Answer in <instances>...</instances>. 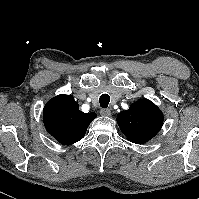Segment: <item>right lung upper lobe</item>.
I'll list each match as a JSON object with an SVG mask.
<instances>
[{
    "instance_id": "1",
    "label": "right lung upper lobe",
    "mask_w": 199,
    "mask_h": 199,
    "mask_svg": "<svg viewBox=\"0 0 199 199\" xmlns=\"http://www.w3.org/2000/svg\"><path fill=\"white\" fill-rule=\"evenodd\" d=\"M95 118L94 112L80 111L72 95H59L52 98L43 110L46 130L63 145L81 140Z\"/></svg>"
}]
</instances>
